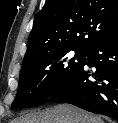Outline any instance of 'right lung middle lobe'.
Segmentation results:
<instances>
[{
	"mask_svg": "<svg viewBox=\"0 0 118 123\" xmlns=\"http://www.w3.org/2000/svg\"><path fill=\"white\" fill-rule=\"evenodd\" d=\"M86 53L78 48H60L23 64L12 108L29 106L49 98L77 73L85 62Z\"/></svg>",
	"mask_w": 118,
	"mask_h": 123,
	"instance_id": "right-lung-middle-lobe-1",
	"label": "right lung middle lobe"
}]
</instances>
